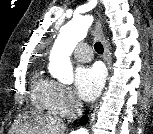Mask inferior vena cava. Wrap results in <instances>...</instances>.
Wrapping results in <instances>:
<instances>
[{
	"label": "inferior vena cava",
	"instance_id": "inferior-vena-cava-1",
	"mask_svg": "<svg viewBox=\"0 0 153 134\" xmlns=\"http://www.w3.org/2000/svg\"><path fill=\"white\" fill-rule=\"evenodd\" d=\"M83 104L77 100L75 102V112L73 114V118H77L81 115Z\"/></svg>",
	"mask_w": 153,
	"mask_h": 134
}]
</instances>
